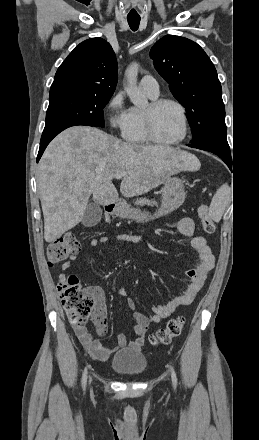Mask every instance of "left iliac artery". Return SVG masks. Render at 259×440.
Masks as SVG:
<instances>
[{
    "label": "left iliac artery",
    "instance_id": "44dca946",
    "mask_svg": "<svg viewBox=\"0 0 259 440\" xmlns=\"http://www.w3.org/2000/svg\"><path fill=\"white\" fill-rule=\"evenodd\" d=\"M171 378H172L173 385L176 386L177 385V377H176V373H175L173 367H171Z\"/></svg>",
    "mask_w": 259,
    "mask_h": 440
}]
</instances>
